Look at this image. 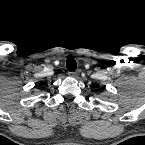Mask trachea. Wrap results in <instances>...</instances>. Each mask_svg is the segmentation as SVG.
Wrapping results in <instances>:
<instances>
[{"label":"trachea","mask_w":145,"mask_h":145,"mask_svg":"<svg viewBox=\"0 0 145 145\" xmlns=\"http://www.w3.org/2000/svg\"><path fill=\"white\" fill-rule=\"evenodd\" d=\"M66 67L69 71H75L77 68L76 60L73 57H70L66 61Z\"/></svg>","instance_id":"1"}]
</instances>
